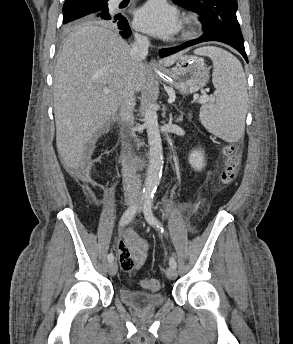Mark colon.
<instances>
[{"mask_svg": "<svg viewBox=\"0 0 293 344\" xmlns=\"http://www.w3.org/2000/svg\"><path fill=\"white\" fill-rule=\"evenodd\" d=\"M225 163L224 169L221 174V181L224 184H230L235 179L241 160L239 148L234 144H226L222 149ZM142 285L151 290L155 291L159 288L160 284L155 279H147L142 281Z\"/></svg>", "mask_w": 293, "mask_h": 344, "instance_id": "1", "label": "colon"}]
</instances>
